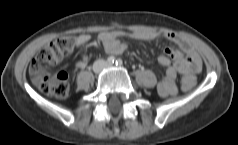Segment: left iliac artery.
I'll use <instances>...</instances> for the list:
<instances>
[{
    "mask_svg": "<svg viewBox=\"0 0 238 145\" xmlns=\"http://www.w3.org/2000/svg\"><path fill=\"white\" fill-rule=\"evenodd\" d=\"M123 65V61L121 59L116 60V66L121 67Z\"/></svg>",
    "mask_w": 238,
    "mask_h": 145,
    "instance_id": "obj_1",
    "label": "left iliac artery"
}]
</instances>
